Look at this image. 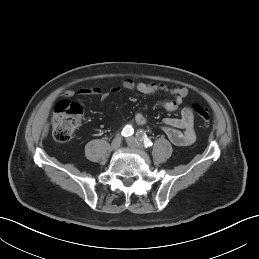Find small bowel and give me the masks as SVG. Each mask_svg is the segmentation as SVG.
<instances>
[{
    "label": "small bowel",
    "mask_w": 259,
    "mask_h": 259,
    "mask_svg": "<svg viewBox=\"0 0 259 259\" xmlns=\"http://www.w3.org/2000/svg\"><path fill=\"white\" fill-rule=\"evenodd\" d=\"M122 90L137 91L145 95L167 93L173 98L162 101L160 107L169 113L176 111L189 95V90L186 87H171L166 84L138 82L132 79H125L121 85L113 87L110 91H104L100 87H82L77 91L67 89L63 91L62 95L68 97L75 94L80 97L97 95L102 100H105L109 95L118 94ZM134 119L139 125L145 123V116L142 112H137ZM163 130L174 145L180 147L192 145L197 138L193 110L189 106H186L181 110L179 117L166 118L164 120Z\"/></svg>",
    "instance_id": "obj_1"
}]
</instances>
